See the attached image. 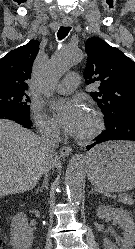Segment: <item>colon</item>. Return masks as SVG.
<instances>
[{
	"label": "colon",
	"mask_w": 135,
	"mask_h": 249,
	"mask_svg": "<svg viewBox=\"0 0 135 249\" xmlns=\"http://www.w3.org/2000/svg\"><path fill=\"white\" fill-rule=\"evenodd\" d=\"M0 249H2V241L0 240Z\"/></svg>",
	"instance_id": "1"
}]
</instances>
